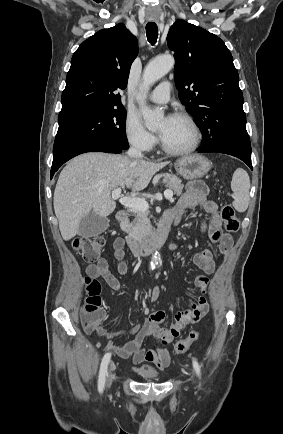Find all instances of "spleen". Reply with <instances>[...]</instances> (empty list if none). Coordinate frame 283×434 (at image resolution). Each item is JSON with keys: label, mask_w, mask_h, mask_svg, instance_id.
Masks as SVG:
<instances>
[{"label": "spleen", "mask_w": 283, "mask_h": 434, "mask_svg": "<svg viewBox=\"0 0 283 434\" xmlns=\"http://www.w3.org/2000/svg\"><path fill=\"white\" fill-rule=\"evenodd\" d=\"M233 206L238 212H244L249 204L250 179L244 169L238 168L232 177Z\"/></svg>", "instance_id": "1"}]
</instances>
